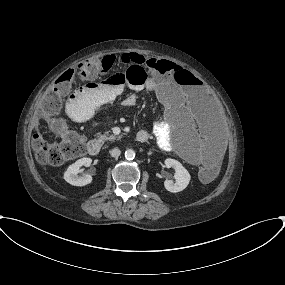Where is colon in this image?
Listing matches in <instances>:
<instances>
[{"mask_svg":"<svg viewBox=\"0 0 285 285\" xmlns=\"http://www.w3.org/2000/svg\"><path fill=\"white\" fill-rule=\"evenodd\" d=\"M114 64L110 56L102 59H88L76 69L63 72L51 88L38 102V113L42 117H51L58 113L63 97L73 84L87 83L100 79L108 74ZM147 69H154L161 76L171 75L180 84L188 83L191 75L180 66L167 60H145L127 65V69L110 76L115 83H132L135 87H142L148 81ZM37 160L46 165H60L67 161L82 157L86 153L83 137L74 129L60 126L58 132L49 139L36 133L32 139ZM220 164L215 158L202 165L200 177L204 181L212 180L219 172Z\"/></svg>","mask_w":285,"mask_h":285,"instance_id":"colon-1","label":"colon"}]
</instances>
